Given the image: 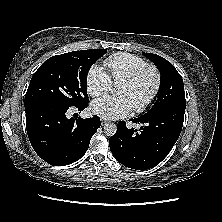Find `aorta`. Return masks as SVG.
I'll list each match as a JSON object with an SVG mask.
<instances>
[{
	"mask_svg": "<svg viewBox=\"0 0 222 222\" xmlns=\"http://www.w3.org/2000/svg\"><path fill=\"white\" fill-rule=\"evenodd\" d=\"M117 131V127L113 123H106L104 125V133L107 136H113Z\"/></svg>",
	"mask_w": 222,
	"mask_h": 222,
	"instance_id": "1",
	"label": "aorta"
}]
</instances>
